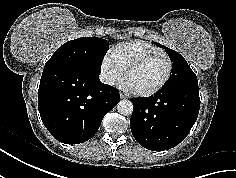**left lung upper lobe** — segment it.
Masks as SVG:
<instances>
[{
    "instance_id": "obj_1",
    "label": "left lung upper lobe",
    "mask_w": 236,
    "mask_h": 178,
    "mask_svg": "<svg viewBox=\"0 0 236 178\" xmlns=\"http://www.w3.org/2000/svg\"><path fill=\"white\" fill-rule=\"evenodd\" d=\"M155 45L164 48L168 53L172 62V75L167 81L166 85L171 84H198L197 77L192 69L187 64L186 60L178 52L167 48L159 43L154 42Z\"/></svg>"
}]
</instances>
